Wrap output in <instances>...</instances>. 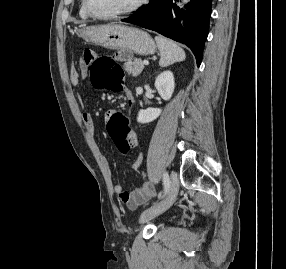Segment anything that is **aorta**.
I'll use <instances>...</instances> for the list:
<instances>
[{"instance_id": "aorta-1", "label": "aorta", "mask_w": 286, "mask_h": 269, "mask_svg": "<svg viewBox=\"0 0 286 269\" xmlns=\"http://www.w3.org/2000/svg\"><path fill=\"white\" fill-rule=\"evenodd\" d=\"M190 0H182L183 4L188 3Z\"/></svg>"}]
</instances>
